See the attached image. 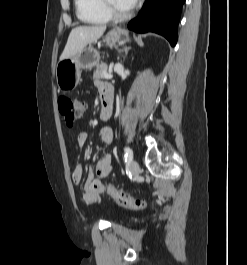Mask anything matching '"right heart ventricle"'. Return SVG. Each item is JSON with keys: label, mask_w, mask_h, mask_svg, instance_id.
<instances>
[{"label": "right heart ventricle", "mask_w": 247, "mask_h": 265, "mask_svg": "<svg viewBox=\"0 0 247 265\" xmlns=\"http://www.w3.org/2000/svg\"><path fill=\"white\" fill-rule=\"evenodd\" d=\"M78 18L90 24H106L110 16L104 8L103 0H74Z\"/></svg>", "instance_id": "right-heart-ventricle-1"}]
</instances>
